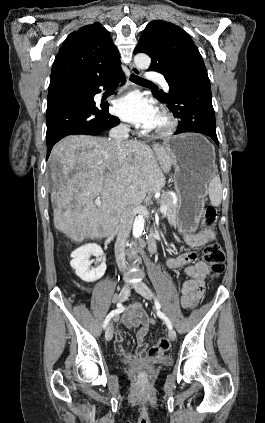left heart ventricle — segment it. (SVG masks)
<instances>
[{
  "instance_id": "1",
  "label": "left heart ventricle",
  "mask_w": 265,
  "mask_h": 423,
  "mask_svg": "<svg viewBox=\"0 0 265 423\" xmlns=\"http://www.w3.org/2000/svg\"><path fill=\"white\" fill-rule=\"evenodd\" d=\"M163 124H164V120H163L162 116L158 113V115H157V117H156V119H155L151 128L152 129L158 128V127H161Z\"/></svg>"
}]
</instances>
